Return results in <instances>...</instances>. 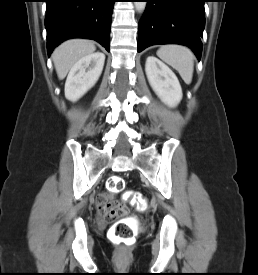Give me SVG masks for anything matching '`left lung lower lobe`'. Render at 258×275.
<instances>
[{
  "label": "left lung lower lobe",
  "mask_w": 258,
  "mask_h": 275,
  "mask_svg": "<svg viewBox=\"0 0 258 275\" xmlns=\"http://www.w3.org/2000/svg\"><path fill=\"white\" fill-rule=\"evenodd\" d=\"M138 25V52L156 44L190 47L200 59L205 26V0H144Z\"/></svg>",
  "instance_id": "obj_1"
}]
</instances>
